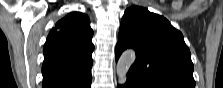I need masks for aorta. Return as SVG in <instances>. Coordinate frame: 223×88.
I'll list each match as a JSON object with an SVG mask.
<instances>
[{"label": "aorta", "mask_w": 223, "mask_h": 88, "mask_svg": "<svg viewBox=\"0 0 223 88\" xmlns=\"http://www.w3.org/2000/svg\"><path fill=\"white\" fill-rule=\"evenodd\" d=\"M135 57V52L133 50H127L119 58L116 64V73L119 84L126 83L127 73L131 65L134 63Z\"/></svg>", "instance_id": "762f6f07"}]
</instances>
